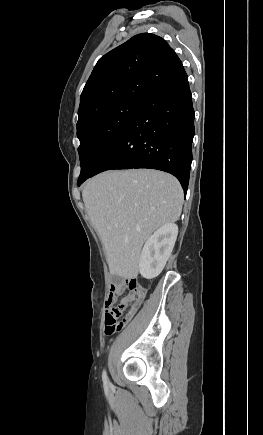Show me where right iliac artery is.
Segmentation results:
<instances>
[{
    "mask_svg": "<svg viewBox=\"0 0 263 435\" xmlns=\"http://www.w3.org/2000/svg\"><path fill=\"white\" fill-rule=\"evenodd\" d=\"M102 379H103L104 385L107 386L108 382H109V379L107 377L106 371H103Z\"/></svg>",
    "mask_w": 263,
    "mask_h": 435,
    "instance_id": "82829eb1",
    "label": "right iliac artery"
}]
</instances>
